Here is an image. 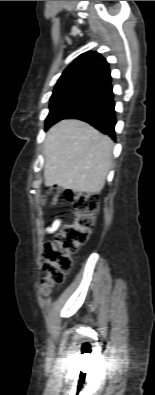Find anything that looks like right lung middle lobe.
Listing matches in <instances>:
<instances>
[{
    "label": "right lung middle lobe",
    "instance_id": "1",
    "mask_svg": "<svg viewBox=\"0 0 155 395\" xmlns=\"http://www.w3.org/2000/svg\"><path fill=\"white\" fill-rule=\"evenodd\" d=\"M103 90V88L83 83L55 86L50 99V112L46 119L45 129L92 102Z\"/></svg>",
    "mask_w": 155,
    "mask_h": 395
}]
</instances>
